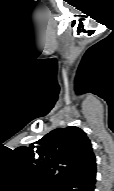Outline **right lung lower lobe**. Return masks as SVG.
<instances>
[{
    "label": "right lung lower lobe",
    "instance_id": "obj_1",
    "mask_svg": "<svg viewBox=\"0 0 114 191\" xmlns=\"http://www.w3.org/2000/svg\"><path fill=\"white\" fill-rule=\"evenodd\" d=\"M96 169L87 174L70 179L57 188V191H94Z\"/></svg>",
    "mask_w": 114,
    "mask_h": 191
}]
</instances>
